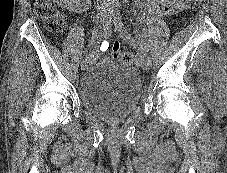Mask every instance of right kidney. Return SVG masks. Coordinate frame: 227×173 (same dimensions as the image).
Segmentation results:
<instances>
[{"instance_id": "right-kidney-1", "label": "right kidney", "mask_w": 227, "mask_h": 173, "mask_svg": "<svg viewBox=\"0 0 227 173\" xmlns=\"http://www.w3.org/2000/svg\"><path fill=\"white\" fill-rule=\"evenodd\" d=\"M60 1V5L67 7V6H74V4L79 3L81 0H59Z\"/></svg>"}]
</instances>
